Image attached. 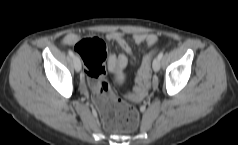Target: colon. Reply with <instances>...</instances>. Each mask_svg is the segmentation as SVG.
<instances>
[{"label":"colon","instance_id":"obj_1","mask_svg":"<svg viewBox=\"0 0 238 145\" xmlns=\"http://www.w3.org/2000/svg\"><path fill=\"white\" fill-rule=\"evenodd\" d=\"M74 49L83 60L93 100L105 127L112 132L135 130L139 123L137 110L117 98L104 78L107 57L104 42L96 37L81 38L74 45ZM153 55L154 52L147 54L142 61L137 85L130 93V97L134 100H142L148 91Z\"/></svg>","mask_w":238,"mask_h":145}]
</instances>
